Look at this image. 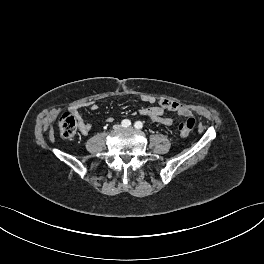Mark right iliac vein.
Here are the masks:
<instances>
[{"label":"right iliac vein","instance_id":"1","mask_svg":"<svg viewBox=\"0 0 264 264\" xmlns=\"http://www.w3.org/2000/svg\"><path fill=\"white\" fill-rule=\"evenodd\" d=\"M113 128H114L115 130H120L122 127H121V125L116 124V125L113 126Z\"/></svg>","mask_w":264,"mask_h":264}]
</instances>
